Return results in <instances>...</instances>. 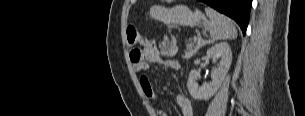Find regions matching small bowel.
Masks as SVG:
<instances>
[{
  "mask_svg": "<svg viewBox=\"0 0 305 116\" xmlns=\"http://www.w3.org/2000/svg\"><path fill=\"white\" fill-rule=\"evenodd\" d=\"M141 50L137 49V56L130 53V59L133 64V69L136 72H144L149 68L150 64L159 65L171 69H179L178 62L169 59H163L153 41L148 40L143 44ZM141 87L145 96L155 102H161L160 97L155 92L151 82L146 76L141 77ZM176 105L178 106L181 116H193V107L191 101L184 95H177L175 97ZM159 116H169L167 112L160 110Z\"/></svg>",
  "mask_w": 305,
  "mask_h": 116,
  "instance_id": "c3829d8e",
  "label": "small bowel"
}]
</instances>
